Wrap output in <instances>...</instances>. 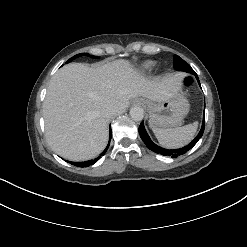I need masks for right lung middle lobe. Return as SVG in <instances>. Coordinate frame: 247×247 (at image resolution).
<instances>
[{
    "label": "right lung middle lobe",
    "instance_id": "obj_1",
    "mask_svg": "<svg viewBox=\"0 0 247 247\" xmlns=\"http://www.w3.org/2000/svg\"><path fill=\"white\" fill-rule=\"evenodd\" d=\"M83 55H88V54H86V53L77 54V55L73 56L72 58H70L66 63H69V62H71L73 59H75V58H77V57H79V56H83Z\"/></svg>",
    "mask_w": 247,
    "mask_h": 247
}]
</instances>
